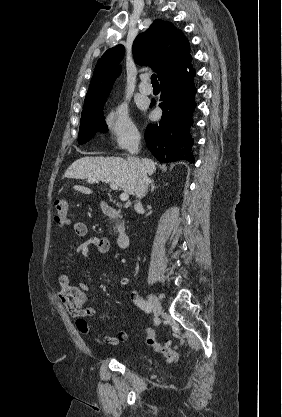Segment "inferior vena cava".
Listing matches in <instances>:
<instances>
[{"instance_id":"obj_1","label":"inferior vena cava","mask_w":282,"mask_h":417,"mask_svg":"<svg viewBox=\"0 0 282 417\" xmlns=\"http://www.w3.org/2000/svg\"><path fill=\"white\" fill-rule=\"evenodd\" d=\"M140 138H141V134L140 132H138V130H131L130 136H129V142L126 146L130 154H138L140 150L139 148ZM128 160H131V162H136L137 164V176H136L137 184L135 186V194L137 198H142V196H145V192H147L150 178H148L146 168L145 166H143L140 160H137L135 156H129ZM140 206H142V204L140 200H137L135 204V209H140Z\"/></svg>"}]
</instances>
